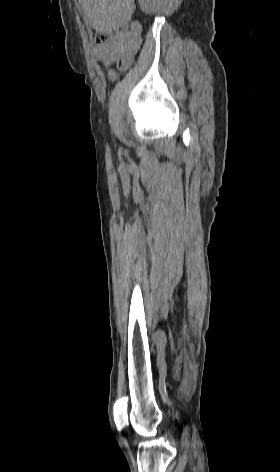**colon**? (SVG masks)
Masks as SVG:
<instances>
[{"mask_svg": "<svg viewBox=\"0 0 280 472\" xmlns=\"http://www.w3.org/2000/svg\"><path fill=\"white\" fill-rule=\"evenodd\" d=\"M126 30H127L126 26H122V27H119L116 32L119 34V33L126 32ZM111 38H112V34L110 32L97 31L94 33L93 41L97 46H102V45L107 44L111 40ZM117 66L120 69H125L129 67L130 66L129 57H123L119 59L117 62Z\"/></svg>", "mask_w": 280, "mask_h": 472, "instance_id": "1", "label": "colon"}]
</instances>
